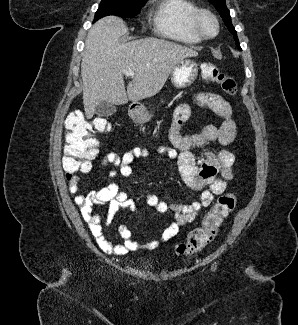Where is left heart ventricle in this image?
<instances>
[{
	"instance_id": "obj_1",
	"label": "left heart ventricle",
	"mask_w": 298,
	"mask_h": 325,
	"mask_svg": "<svg viewBox=\"0 0 298 325\" xmlns=\"http://www.w3.org/2000/svg\"><path fill=\"white\" fill-rule=\"evenodd\" d=\"M202 27L207 35H211L213 33V26L208 19L203 20Z\"/></svg>"
}]
</instances>
